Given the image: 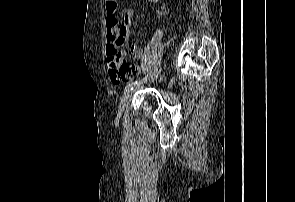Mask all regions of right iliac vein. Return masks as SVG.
I'll use <instances>...</instances> for the list:
<instances>
[{"label": "right iliac vein", "instance_id": "63e3f726", "mask_svg": "<svg viewBox=\"0 0 295 202\" xmlns=\"http://www.w3.org/2000/svg\"><path fill=\"white\" fill-rule=\"evenodd\" d=\"M159 72H157L156 74H154V77H151V81H153L154 79H156L158 77ZM131 94V91H127L123 94V96L120 99L119 102V112H121L123 110V107L125 105V102L127 101L129 95Z\"/></svg>", "mask_w": 295, "mask_h": 202}]
</instances>
